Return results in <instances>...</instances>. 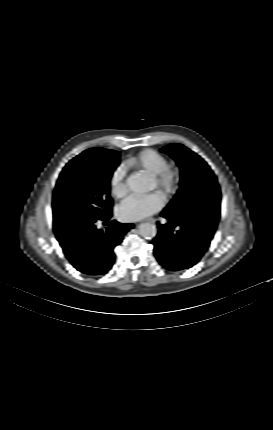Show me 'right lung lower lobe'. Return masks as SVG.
Instances as JSON below:
<instances>
[{
    "label": "right lung lower lobe",
    "mask_w": 273,
    "mask_h": 430,
    "mask_svg": "<svg viewBox=\"0 0 273 430\" xmlns=\"http://www.w3.org/2000/svg\"><path fill=\"white\" fill-rule=\"evenodd\" d=\"M111 216L112 213L99 220L106 221ZM95 222L58 238L69 262L78 271L89 276L104 275L112 268L115 262L114 248L133 227V224H121L114 220L103 232L96 228Z\"/></svg>",
    "instance_id": "right-lung-lower-lobe-1"
}]
</instances>
